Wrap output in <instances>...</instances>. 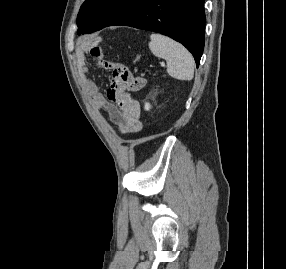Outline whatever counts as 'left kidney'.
<instances>
[{"label": "left kidney", "mask_w": 286, "mask_h": 269, "mask_svg": "<svg viewBox=\"0 0 286 269\" xmlns=\"http://www.w3.org/2000/svg\"><path fill=\"white\" fill-rule=\"evenodd\" d=\"M151 108L150 104L149 103H145V110H149Z\"/></svg>", "instance_id": "1"}]
</instances>
